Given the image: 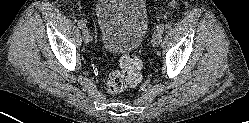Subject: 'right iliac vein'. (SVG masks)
<instances>
[{"mask_svg":"<svg viewBox=\"0 0 249 123\" xmlns=\"http://www.w3.org/2000/svg\"><path fill=\"white\" fill-rule=\"evenodd\" d=\"M82 37H83V41L85 43L89 42V40H90V33H89V31L86 28H84L83 31H82Z\"/></svg>","mask_w":249,"mask_h":123,"instance_id":"right-iliac-vein-1","label":"right iliac vein"}]
</instances>
